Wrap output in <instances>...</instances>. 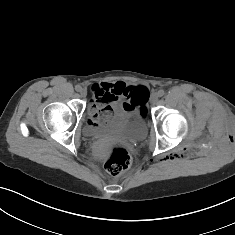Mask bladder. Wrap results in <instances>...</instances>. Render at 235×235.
Listing matches in <instances>:
<instances>
[{
    "label": "bladder",
    "instance_id": "31cf9c89",
    "mask_svg": "<svg viewBox=\"0 0 235 235\" xmlns=\"http://www.w3.org/2000/svg\"><path fill=\"white\" fill-rule=\"evenodd\" d=\"M85 134L90 137L114 135L124 139L137 141L145 137L147 132L146 120L139 109L124 111L118 109L107 121L93 124L88 121L84 128Z\"/></svg>",
    "mask_w": 235,
    "mask_h": 235
}]
</instances>
